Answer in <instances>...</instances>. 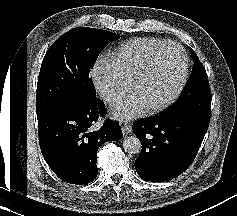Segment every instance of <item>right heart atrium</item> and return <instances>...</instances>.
I'll return each instance as SVG.
<instances>
[{
    "label": "right heart atrium",
    "mask_w": 237,
    "mask_h": 216,
    "mask_svg": "<svg viewBox=\"0 0 237 216\" xmlns=\"http://www.w3.org/2000/svg\"><path fill=\"white\" fill-rule=\"evenodd\" d=\"M92 82L97 93L103 98L112 97L114 100H119L123 95L120 77L105 64H100L95 68L92 73Z\"/></svg>",
    "instance_id": "d8ad5b80"
}]
</instances>
